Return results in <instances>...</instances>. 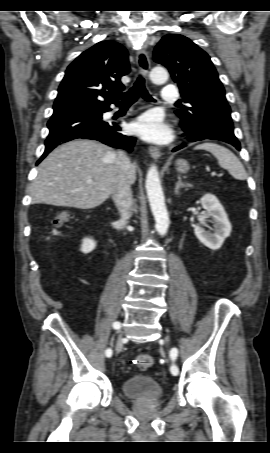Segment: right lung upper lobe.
<instances>
[{"label": "right lung upper lobe", "instance_id": "obj_1", "mask_svg": "<svg viewBox=\"0 0 270 453\" xmlns=\"http://www.w3.org/2000/svg\"><path fill=\"white\" fill-rule=\"evenodd\" d=\"M129 71L128 52L121 44L114 41L95 44L68 66L53 114L117 103L124 89L120 79Z\"/></svg>", "mask_w": 270, "mask_h": 453}]
</instances>
